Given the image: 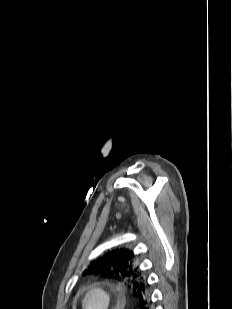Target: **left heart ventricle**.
<instances>
[{
    "label": "left heart ventricle",
    "instance_id": "obj_1",
    "mask_svg": "<svg viewBox=\"0 0 232 309\" xmlns=\"http://www.w3.org/2000/svg\"><path fill=\"white\" fill-rule=\"evenodd\" d=\"M103 299L98 294H91L87 300V309H101L103 306Z\"/></svg>",
    "mask_w": 232,
    "mask_h": 309
}]
</instances>
